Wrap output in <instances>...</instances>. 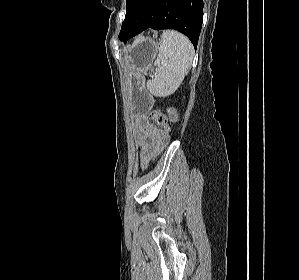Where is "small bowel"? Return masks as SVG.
<instances>
[{
  "label": "small bowel",
  "mask_w": 299,
  "mask_h": 280,
  "mask_svg": "<svg viewBox=\"0 0 299 280\" xmlns=\"http://www.w3.org/2000/svg\"><path fill=\"white\" fill-rule=\"evenodd\" d=\"M138 145L143 165L156 157L168 142V132L163 128L144 122L138 125Z\"/></svg>",
  "instance_id": "obj_1"
}]
</instances>
